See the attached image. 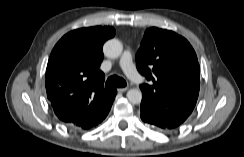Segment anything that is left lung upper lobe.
Returning <instances> with one entry per match:
<instances>
[{"instance_id":"left-lung-upper-lobe-1","label":"left lung upper lobe","mask_w":244,"mask_h":157,"mask_svg":"<svg viewBox=\"0 0 244 157\" xmlns=\"http://www.w3.org/2000/svg\"><path fill=\"white\" fill-rule=\"evenodd\" d=\"M138 71L149 84L140 85L147 103L170 127L192 113L200 89V67L190 43L173 31L149 28L136 54Z\"/></svg>"}]
</instances>
